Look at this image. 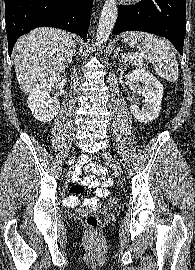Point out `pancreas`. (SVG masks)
Segmentation results:
<instances>
[{"label":"pancreas","mask_w":195,"mask_h":270,"mask_svg":"<svg viewBox=\"0 0 195 270\" xmlns=\"http://www.w3.org/2000/svg\"><path fill=\"white\" fill-rule=\"evenodd\" d=\"M125 61L133 63L135 66H140V59L139 58H124Z\"/></svg>","instance_id":"pancreas-1"}]
</instances>
